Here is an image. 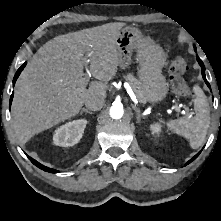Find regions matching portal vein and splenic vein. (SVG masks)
I'll return each instance as SVG.
<instances>
[{"label":"portal vein and splenic vein","mask_w":221,"mask_h":221,"mask_svg":"<svg viewBox=\"0 0 221 221\" xmlns=\"http://www.w3.org/2000/svg\"><path fill=\"white\" fill-rule=\"evenodd\" d=\"M88 57H89V55H88ZM88 62H89V59H86V61H85V69H86V79H87V81H88V80L90 79V77H91V73H90V71L88 70V67H87ZM127 91H128V93H129L130 97L133 99V101H137V100H136V96L134 95V93H133L132 91H129V90H127ZM172 109H174L175 111H177V112H179V113H182V110H181L180 107L177 106V105H173V106H172Z\"/></svg>","instance_id":"portal-vein-and-splenic-vein-1"}]
</instances>
